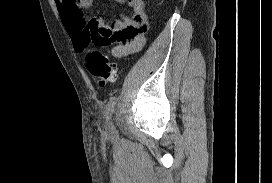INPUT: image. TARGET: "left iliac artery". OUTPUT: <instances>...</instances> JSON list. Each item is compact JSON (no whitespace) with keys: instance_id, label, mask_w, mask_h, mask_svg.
<instances>
[{"instance_id":"44dca946","label":"left iliac artery","mask_w":272,"mask_h":183,"mask_svg":"<svg viewBox=\"0 0 272 183\" xmlns=\"http://www.w3.org/2000/svg\"><path fill=\"white\" fill-rule=\"evenodd\" d=\"M116 103H117L116 97H111L110 100L108 101L106 105V109H105V114L107 119L111 118V115L114 111Z\"/></svg>"}]
</instances>
